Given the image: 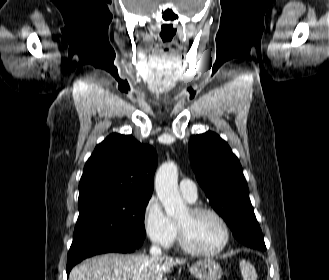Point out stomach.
<instances>
[{"label": "stomach", "instance_id": "stomach-1", "mask_svg": "<svg viewBox=\"0 0 329 280\" xmlns=\"http://www.w3.org/2000/svg\"><path fill=\"white\" fill-rule=\"evenodd\" d=\"M189 272L199 280H220L222 277L221 266L210 259L198 261L189 267Z\"/></svg>", "mask_w": 329, "mask_h": 280}]
</instances>
